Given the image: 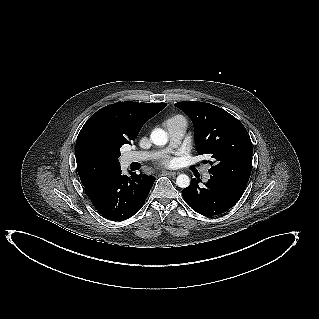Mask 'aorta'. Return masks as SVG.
<instances>
[{
	"mask_svg": "<svg viewBox=\"0 0 319 319\" xmlns=\"http://www.w3.org/2000/svg\"><path fill=\"white\" fill-rule=\"evenodd\" d=\"M150 139L155 145L164 146L168 142V135L163 129L156 128L152 131ZM176 184L181 188H186L190 184V179L186 174H180L176 179Z\"/></svg>",
	"mask_w": 319,
	"mask_h": 319,
	"instance_id": "762f6f07",
	"label": "aorta"
}]
</instances>
